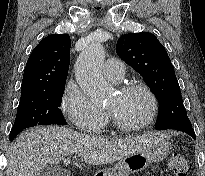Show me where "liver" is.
<instances>
[{
  "label": "liver",
  "mask_w": 205,
  "mask_h": 176,
  "mask_svg": "<svg viewBox=\"0 0 205 176\" xmlns=\"http://www.w3.org/2000/svg\"><path fill=\"white\" fill-rule=\"evenodd\" d=\"M166 138L160 132L132 139H109L64 127H35L20 134L8 151L7 176H39L43 167L78 154L90 165H104L144 151Z\"/></svg>",
  "instance_id": "obj_1"
}]
</instances>
